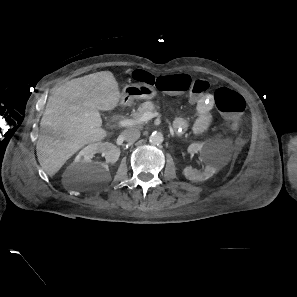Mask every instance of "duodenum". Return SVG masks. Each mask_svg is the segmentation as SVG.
Listing matches in <instances>:
<instances>
[{
    "label": "duodenum",
    "instance_id": "duodenum-1",
    "mask_svg": "<svg viewBox=\"0 0 297 297\" xmlns=\"http://www.w3.org/2000/svg\"><path fill=\"white\" fill-rule=\"evenodd\" d=\"M126 105H127V101L126 100L121 101V103H120V109L122 110V108L125 107ZM174 129H175L176 132H179L177 127H174Z\"/></svg>",
    "mask_w": 297,
    "mask_h": 297
}]
</instances>
